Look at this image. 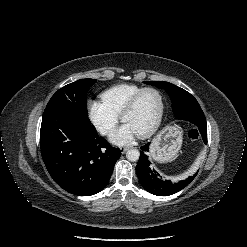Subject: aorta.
Masks as SVG:
<instances>
[{
  "label": "aorta",
  "mask_w": 247,
  "mask_h": 247,
  "mask_svg": "<svg viewBox=\"0 0 247 247\" xmlns=\"http://www.w3.org/2000/svg\"><path fill=\"white\" fill-rule=\"evenodd\" d=\"M140 152L137 149H129L126 152V158L131 162H136L139 159Z\"/></svg>",
  "instance_id": "obj_1"
}]
</instances>
